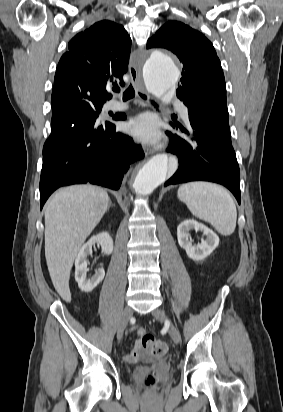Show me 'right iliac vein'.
I'll list each match as a JSON object with an SVG mask.
<instances>
[{
	"label": "right iliac vein",
	"mask_w": 283,
	"mask_h": 412,
	"mask_svg": "<svg viewBox=\"0 0 283 412\" xmlns=\"http://www.w3.org/2000/svg\"><path fill=\"white\" fill-rule=\"evenodd\" d=\"M132 316V309L130 307H125L121 321L119 323L118 329H117V338L118 340H121L124 334V331L128 325V322L130 320V317Z\"/></svg>",
	"instance_id": "right-iliac-vein-1"
}]
</instances>
